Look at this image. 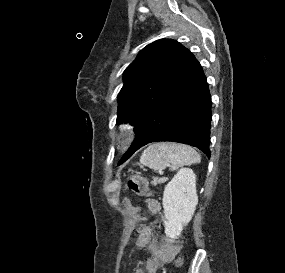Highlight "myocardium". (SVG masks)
<instances>
[{
	"label": "myocardium",
	"instance_id": "1",
	"mask_svg": "<svg viewBox=\"0 0 285 273\" xmlns=\"http://www.w3.org/2000/svg\"><path fill=\"white\" fill-rule=\"evenodd\" d=\"M136 135L135 128L126 124L120 128L119 133L116 136V147L118 150L124 151L130 147Z\"/></svg>",
	"mask_w": 285,
	"mask_h": 273
}]
</instances>
